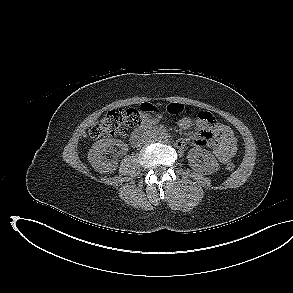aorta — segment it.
Listing matches in <instances>:
<instances>
[{"mask_svg":"<svg viewBox=\"0 0 293 293\" xmlns=\"http://www.w3.org/2000/svg\"><path fill=\"white\" fill-rule=\"evenodd\" d=\"M168 134L167 133H161L160 135H159V137H158V140L160 141V142H166V141H168Z\"/></svg>","mask_w":293,"mask_h":293,"instance_id":"aorta-1","label":"aorta"}]
</instances>
